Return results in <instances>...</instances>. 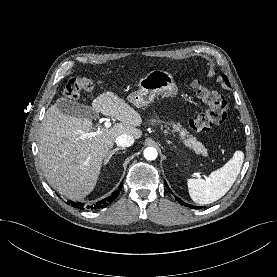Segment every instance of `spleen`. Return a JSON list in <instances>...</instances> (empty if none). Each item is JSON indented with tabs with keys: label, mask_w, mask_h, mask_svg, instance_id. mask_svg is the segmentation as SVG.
<instances>
[{
	"label": "spleen",
	"mask_w": 277,
	"mask_h": 277,
	"mask_svg": "<svg viewBox=\"0 0 277 277\" xmlns=\"http://www.w3.org/2000/svg\"><path fill=\"white\" fill-rule=\"evenodd\" d=\"M243 160L244 153L236 151L223 167L211 172L207 178L188 179L187 185L191 199L200 205H205L223 197L239 175Z\"/></svg>",
	"instance_id": "obj_1"
}]
</instances>
